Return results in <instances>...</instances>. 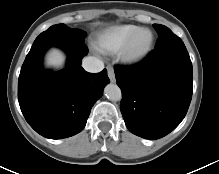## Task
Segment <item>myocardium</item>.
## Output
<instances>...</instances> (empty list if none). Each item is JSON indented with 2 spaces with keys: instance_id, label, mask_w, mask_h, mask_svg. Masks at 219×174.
<instances>
[{
  "instance_id": "1",
  "label": "myocardium",
  "mask_w": 219,
  "mask_h": 174,
  "mask_svg": "<svg viewBox=\"0 0 219 174\" xmlns=\"http://www.w3.org/2000/svg\"><path fill=\"white\" fill-rule=\"evenodd\" d=\"M145 31L150 34V38L144 47L140 49H136L134 46L135 41L138 35ZM153 44H154V34L152 30L145 27L139 28L130 36V38L127 40L124 46L120 49L119 58L121 59L122 62L126 64H130V65L136 64L142 61L143 59H145L149 55V53L153 48Z\"/></svg>"
}]
</instances>
